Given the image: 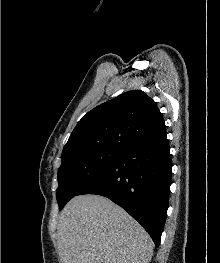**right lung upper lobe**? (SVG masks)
<instances>
[{"label": "right lung upper lobe", "mask_w": 220, "mask_h": 263, "mask_svg": "<svg viewBox=\"0 0 220 263\" xmlns=\"http://www.w3.org/2000/svg\"><path fill=\"white\" fill-rule=\"evenodd\" d=\"M164 133V119L155 102L145 92L132 90L84 115L71 133L62 155L91 148L124 150L136 141Z\"/></svg>", "instance_id": "obj_1"}]
</instances>
